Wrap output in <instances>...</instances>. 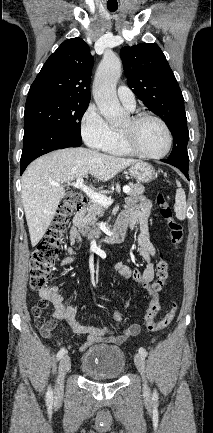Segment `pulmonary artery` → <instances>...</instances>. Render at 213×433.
<instances>
[{
  "label": "pulmonary artery",
  "mask_w": 213,
  "mask_h": 433,
  "mask_svg": "<svg viewBox=\"0 0 213 433\" xmlns=\"http://www.w3.org/2000/svg\"><path fill=\"white\" fill-rule=\"evenodd\" d=\"M117 95L121 103L128 109L133 110L135 108V95L132 90L127 86H119Z\"/></svg>",
  "instance_id": "pulmonary-artery-1"
}]
</instances>
